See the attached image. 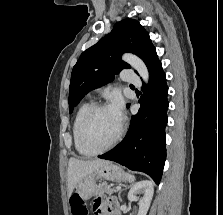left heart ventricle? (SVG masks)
<instances>
[{"label": "left heart ventricle", "mask_w": 223, "mask_h": 215, "mask_svg": "<svg viewBox=\"0 0 223 215\" xmlns=\"http://www.w3.org/2000/svg\"><path fill=\"white\" fill-rule=\"evenodd\" d=\"M119 128L120 121L109 108L100 110L89 127L88 137L91 145L95 148L107 146L116 137Z\"/></svg>", "instance_id": "obj_1"}]
</instances>
